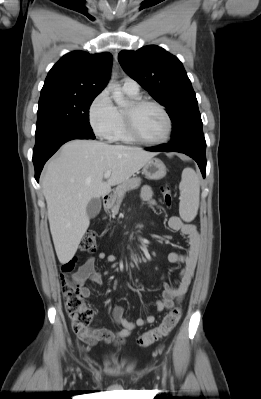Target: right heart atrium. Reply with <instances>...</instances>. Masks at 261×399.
<instances>
[{"label":"right heart atrium","instance_id":"1","mask_svg":"<svg viewBox=\"0 0 261 399\" xmlns=\"http://www.w3.org/2000/svg\"><path fill=\"white\" fill-rule=\"evenodd\" d=\"M88 118L91 128L98 137L113 138L118 123V114L106 90L101 91L91 102Z\"/></svg>","mask_w":261,"mask_h":399}]
</instances>
